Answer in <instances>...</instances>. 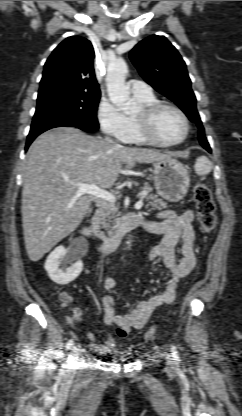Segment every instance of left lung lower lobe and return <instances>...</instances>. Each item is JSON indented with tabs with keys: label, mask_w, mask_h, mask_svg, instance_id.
Wrapping results in <instances>:
<instances>
[{
	"label": "left lung lower lobe",
	"mask_w": 242,
	"mask_h": 416,
	"mask_svg": "<svg viewBox=\"0 0 242 416\" xmlns=\"http://www.w3.org/2000/svg\"><path fill=\"white\" fill-rule=\"evenodd\" d=\"M202 146L208 151V152H211V148H210V146H209V144H208V142L206 141V142H204V143H202Z\"/></svg>",
	"instance_id": "obj_1"
}]
</instances>
